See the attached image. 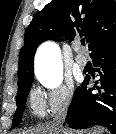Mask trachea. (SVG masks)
I'll return each instance as SVG.
<instances>
[{
	"label": "trachea",
	"mask_w": 116,
	"mask_h": 134,
	"mask_svg": "<svg viewBox=\"0 0 116 134\" xmlns=\"http://www.w3.org/2000/svg\"><path fill=\"white\" fill-rule=\"evenodd\" d=\"M81 44L85 45V40L84 39L81 40Z\"/></svg>",
	"instance_id": "obj_1"
}]
</instances>
